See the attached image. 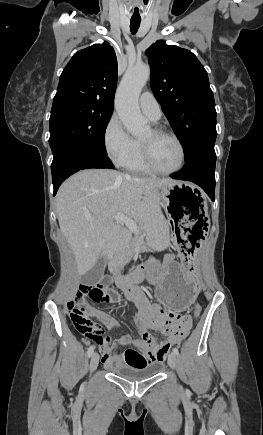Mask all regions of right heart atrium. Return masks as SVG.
Instances as JSON below:
<instances>
[{
	"label": "right heart atrium",
	"mask_w": 263,
	"mask_h": 435,
	"mask_svg": "<svg viewBox=\"0 0 263 435\" xmlns=\"http://www.w3.org/2000/svg\"><path fill=\"white\" fill-rule=\"evenodd\" d=\"M103 145L108 157L118 166H125L134 155L135 140L116 114L109 118L104 128Z\"/></svg>",
	"instance_id": "1"
}]
</instances>
